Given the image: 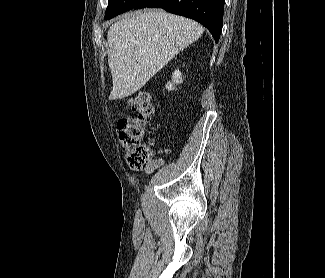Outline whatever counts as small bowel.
Returning <instances> with one entry per match:
<instances>
[{"label":"small bowel","mask_w":325,"mask_h":278,"mask_svg":"<svg viewBox=\"0 0 325 278\" xmlns=\"http://www.w3.org/2000/svg\"><path fill=\"white\" fill-rule=\"evenodd\" d=\"M162 163H163V159H154V160H152L149 164H148V166L146 167V169H145V172L146 173H151V172H153L156 168H158L160 165H162Z\"/></svg>","instance_id":"c3829d8e"}]
</instances>
